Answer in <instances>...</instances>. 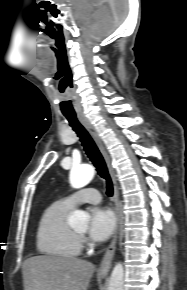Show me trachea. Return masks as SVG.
<instances>
[{
	"mask_svg": "<svg viewBox=\"0 0 187 290\" xmlns=\"http://www.w3.org/2000/svg\"><path fill=\"white\" fill-rule=\"evenodd\" d=\"M64 116L67 118L70 126L80 138L82 146L84 147L87 156L96 167L98 174L100 175V177L106 180V193L109 197H111L113 195V183L110 178L104 158L101 155L94 140L87 132V130L80 124L75 113H64Z\"/></svg>",
	"mask_w": 187,
	"mask_h": 290,
	"instance_id": "obj_1",
	"label": "trachea"
}]
</instances>
